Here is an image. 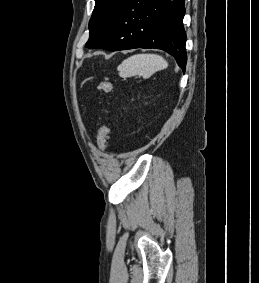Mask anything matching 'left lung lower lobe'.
<instances>
[{
	"instance_id": "obj_1",
	"label": "left lung lower lobe",
	"mask_w": 259,
	"mask_h": 283,
	"mask_svg": "<svg viewBox=\"0 0 259 283\" xmlns=\"http://www.w3.org/2000/svg\"><path fill=\"white\" fill-rule=\"evenodd\" d=\"M184 0H126L105 35L88 48L162 49L185 71Z\"/></svg>"
}]
</instances>
